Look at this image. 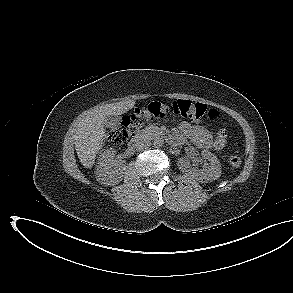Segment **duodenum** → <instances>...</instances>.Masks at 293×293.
Returning <instances> with one entry per match:
<instances>
[{
    "instance_id": "1",
    "label": "duodenum",
    "mask_w": 293,
    "mask_h": 293,
    "mask_svg": "<svg viewBox=\"0 0 293 293\" xmlns=\"http://www.w3.org/2000/svg\"><path fill=\"white\" fill-rule=\"evenodd\" d=\"M170 139H171L172 142H176V138L175 137H171ZM142 140H143V137L142 136H140V135L135 136L129 142V148L131 150L136 149L141 144Z\"/></svg>"
}]
</instances>
